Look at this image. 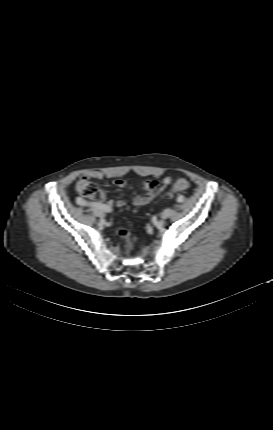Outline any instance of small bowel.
<instances>
[{"instance_id":"small-bowel-1","label":"small bowel","mask_w":273,"mask_h":430,"mask_svg":"<svg viewBox=\"0 0 273 430\" xmlns=\"http://www.w3.org/2000/svg\"><path fill=\"white\" fill-rule=\"evenodd\" d=\"M85 176L93 179H102L104 177V173L98 170L88 171ZM179 180V179H178ZM185 180V179H184ZM172 182V178L166 176L162 179L161 182L157 180H147L144 183L145 192L143 194H138L133 198V204L135 206H144L153 201L157 196H159ZM115 185L118 188H125L127 183L123 179H118L115 181ZM100 197L103 201L106 199V192L104 190L100 191ZM77 204L80 206H93L95 204H102L101 202H91L86 199L81 198V200L77 201ZM105 205L112 208L114 205L118 208H122L126 205V201L123 199L117 200L114 202L113 200H108Z\"/></svg>"}]
</instances>
